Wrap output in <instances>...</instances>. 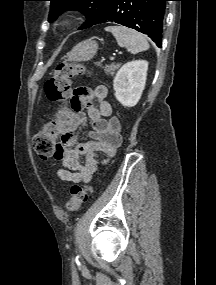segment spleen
I'll return each instance as SVG.
<instances>
[{"mask_svg":"<svg viewBox=\"0 0 216 285\" xmlns=\"http://www.w3.org/2000/svg\"><path fill=\"white\" fill-rule=\"evenodd\" d=\"M105 31L111 32L117 43L125 47L131 54H137L149 49V43L146 38L133 29L123 26H109Z\"/></svg>","mask_w":216,"mask_h":285,"instance_id":"3e777b00","label":"spleen"}]
</instances>
